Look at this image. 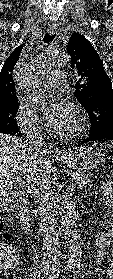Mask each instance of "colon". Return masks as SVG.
<instances>
[{
  "label": "colon",
  "mask_w": 113,
  "mask_h": 279,
  "mask_svg": "<svg viewBox=\"0 0 113 279\" xmlns=\"http://www.w3.org/2000/svg\"><path fill=\"white\" fill-rule=\"evenodd\" d=\"M3 228V221L0 219V234ZM15 260V254L12 251L11 247L6 244H0V274L4 269L6 262H12Z\"/></svg>",
  "instance_id": "5ec220e1"
}]
</instances>
